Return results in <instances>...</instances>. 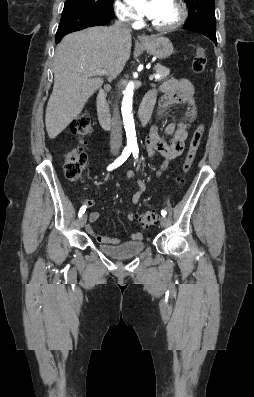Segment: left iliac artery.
I'll return each instance as SVG.
<instances>
[{"mask_svg":"<svg viewBox=\"0 0 254 397\" xmlns=\"http://www.w3.org/2000/svg\"><path fill=\"white\" fill-rule=\"evenodd\" d=\"M132 151H133V157H134V159L138 160V153H139L138 147L133 148ZM161 215H162L163 217H165V216L167 215V212H166L165 210H162V211H161Z\"/></svg>","mask_w":254,"mask_h":397,"instance_id":"left-iliac-artery-1","label":"left iliac artery"}]
</instances>
